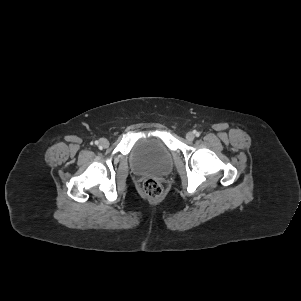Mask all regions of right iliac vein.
I'll use <instances>...</instances> for the list:
<instances>
[{"label":"right iliac vein","instance_id":"1","mask_svg":"<svg viewBox=\"0 0 301 301\" xmlns=\"http://www.w3.org/2000/svg\"><path fill=\"white\" fill-rule=\"evenodd\" d=\"M99 146L101 148H107L109 146V141L107 139H105V138H101L99 140Z\"/></svg>","mask_w":301,"mask_h":301}]
</instances>
